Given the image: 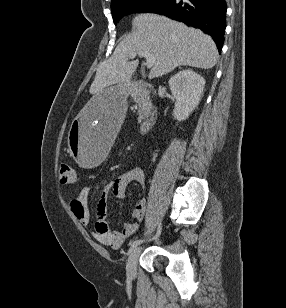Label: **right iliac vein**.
<instances>
[{"label": "right iliac vein", "instance_id": "obj_1", "mask_svg": "<svg viewBox=\"0 0 286 308\" xmlns=\"http://www.w3.org/2000/svg\"><path fill=\"white\" fill-rule=\"evenodd\" d=\"M141 253V247H135L131 250L127 262V275L128 277H134L136 274V268H137V260Z\"/></svg>", "mask_w": 286, "mask_h": 308}]
</instances>
